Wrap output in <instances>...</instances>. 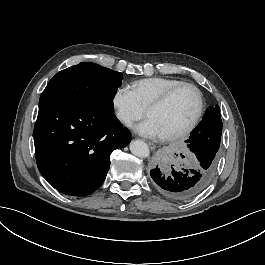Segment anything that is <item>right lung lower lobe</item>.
Segmentation results:
<instances>
[{
    "instance_id": "obj_1",
    "label": "right lung lower lobe",
    "mask_w": 265,
    "mask_h": 265,
    "mask_svg": "<svg viewBox=\"0 0 265 265\" xmlns=\"http://www.w3.org/2000/svg\"><path fill=\"white\" fill-rule=\"evenodd\" d=\"M131 134L111 112L59 99L39 101L34 127L38 169L56 190L86 196L104 181L110 154L125 147Z\"/></svg>"
}]
</instances>
